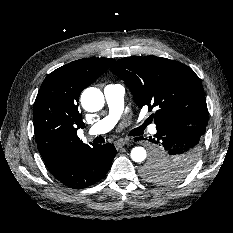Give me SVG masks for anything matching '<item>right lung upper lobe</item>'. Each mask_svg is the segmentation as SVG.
<instances>
[{
	"label": "right lung upper lobe",
	"mask_w": 233,
	"mask_h": 233,
	"mask_svg": "<svg viewBox=\"0 0 233 233\" xmlns=\"http://www.w3.org/2000/svg\"><path fill=\"white\" fill-rule=\"evenodd\" d=\"M113 62L110 58L76 60L54 70L43 81L33 118L37 148L47 167L85 145L77 136V129L85 126L78 111L79 95Z\"/></svg>",
	"instance_id": "obj_1"
}]
</instances>
